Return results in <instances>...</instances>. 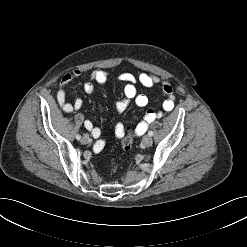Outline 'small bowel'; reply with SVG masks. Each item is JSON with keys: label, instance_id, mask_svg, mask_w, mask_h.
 <instances>
[{"label": "small bowel", "instance_id": "obj_1", "mask_svg": "<svg viewBox=\"0 0 247 247\" xmlns=\"http://www.w3.org/2000/svg\"><path fill=\"white\" fill-rule=\"evenodd\" d=\"M80 76L81 71L79 69H75L72 72L65 74L60 81V85L57 91V101L64 112L70 113L75 110H79L83 105L81 98H76L73 102L67 100L68 84ZM107 79L108 73L105 70H95L91 74L90 81L84 83L83 91L87 94H91L95 90V83L103 85L106 83ZM118 79L125 83V86L124 97L120 99L115 105L117 113L124 112L132 101L139 107H145L148 104V97L145 94L138 92L137 82L146 88L158 87L165 96L162 104L163 111L169 113L173 110L175 106V96L173 93V87L168 81L160 80L158 77L148 73H140L137 78L131 73H122L119 75ZM161 116L162 111L156 112L152 109H149L145 113L143 119L137 124L135 129L136 134H143L148 129L149 124ZM84 126L91 133L93 138L97 139L100 137V128L96 127L91 120H85ZM124 132L125 127L123 123L117 122L115 125V136L117 138H121L124 135ZM102 147L103 142H98L95 145L96 150H99Z\"/></svg>", "mask_w": 247, "mask_h": 247}]
</instances>
